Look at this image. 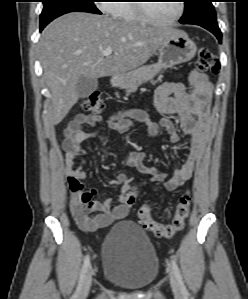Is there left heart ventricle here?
Here are the masks:
<instances>
[{"label":"left heart ventricle","mask_w":248,"mask_h":299,"mask_svg":"<svg viewBox=\"0 0 248 299\" xmlns=\"http://www.w3.org/2000/svg\"><path fill=\"white\" fill-rule=\"evenodd\" d=\"M148 12L160 19L166 20L174 17L178 12L177 1H160L147 3Z\"/></svg>","instance_id":"left-heart-ventricle-1"}]
</instances>
